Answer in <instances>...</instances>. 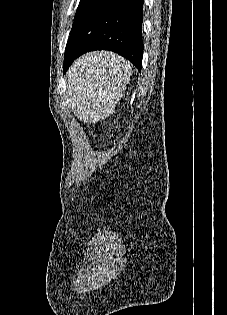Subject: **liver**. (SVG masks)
I'll return each mask as SVG.
<instances>
[{
    "label": "liver",
    "instance_id": "6515ba94",
    "mask_svg": "<svg viewBox=\"0 0 227 315\" xmlns=\"http://www.w3.org/2000/svg\"><path fill=\"white\" fill-rule=\"evenodd\" d=\"M99 55H103V54H109V53H98Z\"/></svg>",
    "mask_w": 227,
    "mask_h": 315
}]
</instances>
